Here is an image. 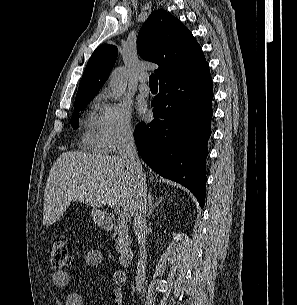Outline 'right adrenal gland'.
I'll list each match as a JSON object with an SVG mask.
<instances>
[{
  "label": "right adrenal gland",
  "instance_id": "right-adrenal-gland-1",
  "mask_svg": "<svg viewBox=\"0 0 297 305\" xmlns=\"http://www.w3.org/2000/svg\"><path fill=\"white\" fill-rule=\"evenodd\" d=\"M162 200H163V198H160L154 203L152 195L151 194L149 195V198H148V214H147L148 217L153 213L154 209L160 204V202Z\"/></svg>",
  "mask_w": 297,
  "mask_h": 305
}]
</instances>
